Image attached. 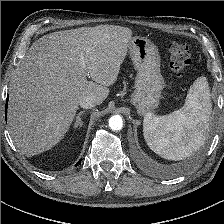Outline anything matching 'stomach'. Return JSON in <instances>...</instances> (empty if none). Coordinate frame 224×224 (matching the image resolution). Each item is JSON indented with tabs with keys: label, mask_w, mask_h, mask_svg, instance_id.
Listing matches in <instances>:
<instances>
[{
	"label": "stomach",
	"mask_w": 224,
	"mask_h": 224,
	"mask_svg": "<svg viewBox=\"0 0 224 224\" xmlns=\"http://www.w3.org/2000/svg\"><path fill=\"white\" fill-rule=\"evenodd\" d=\"M128 49L137 71L130 103L135 106L138 114L146 115L159 105L164 88L159 52L150 40L139 36L130 39Z\"/></svg>",
	"instance_id": "0dacf381"
}]
</instances>
